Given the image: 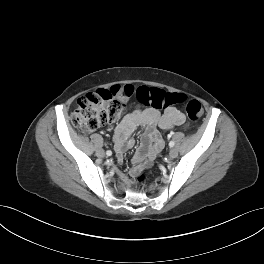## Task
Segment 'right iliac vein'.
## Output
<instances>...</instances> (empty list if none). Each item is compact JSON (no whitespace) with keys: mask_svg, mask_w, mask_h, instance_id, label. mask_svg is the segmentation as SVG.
<instances>
[{"mask_svg":"<svg viewBox=\"0 0 264 264\" xmlns=\"http://www.w3.org/2000/svg\"><path fill=\"white\" fill-rule=\"evenodd\" d=\"M96 155L98 157H104L105 156V153H104V151L102 149H99V150L96 151Z\"/></svg>","mask_w":264,"mask_h":264,"instance_id":"1","label":"right iliac vein"}]
</instances>
